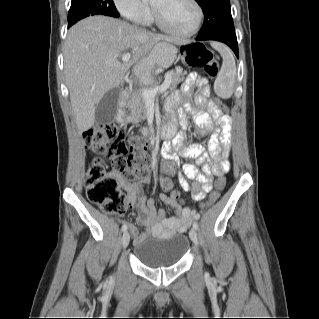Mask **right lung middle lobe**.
Wrapping results in <instances>:
<instances>
[{
    "mask_svg": "<svg viewBox=\"0 0 319 319\" xmlns=\"http://www.w3.org/2000/svg\"><path fill=\"white\" fill-rule=\"evenodd\" d=\"M92 15L117 17L119 13L113 0H72L68 13V27Z\"/></svg>",
    "mask_w": 319,
    "mask_h": 319,
    "instance_id": "right-lung-middle-lobe-1",
    "label": "right lung middle lobe"
}]
</instances>
